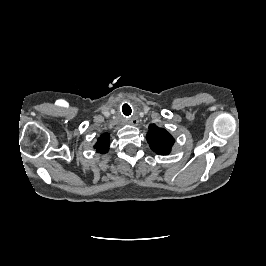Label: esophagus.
<instances>
[{"label": "esophagus", "instance_id": "obj_1", "mask_svg": "<svg viewBox=\"0 0 266 266\" xmlns=\"http://www.w3.org/2000/svg\"><path fill=\"white\" fill-rule=\"evenodd\" d=\"M138 119L136 117H133L132 119H130V124L132 125H138Z\"/></svg>", "mask_w": 266, "mask_h": 266}]
</instances>
